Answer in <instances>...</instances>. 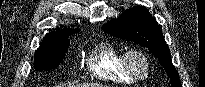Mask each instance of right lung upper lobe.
<instances>
[{
  "label": "right lung upper lobe",
  "instance_id": "cb5924a9",
  "mask_svg": "<svg viewBox=\"0 0 205 87\" xmlns=\"http://www.w3.org/2000/svg\"><path fill=\"white\" fill-rule=\"evenodd\" d=\"M80 29H66V30H58L56 32L51 31L50 33L46 34L43 38V43H51V42H58L64 39H67L70 35L79 32Z\"/></svg>",
  "mask_w": 205,
  "mask_h": 87
}]
</instances>
